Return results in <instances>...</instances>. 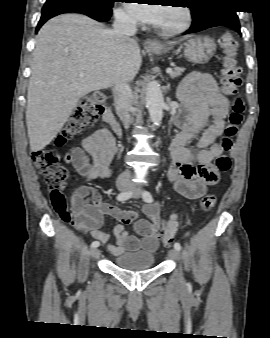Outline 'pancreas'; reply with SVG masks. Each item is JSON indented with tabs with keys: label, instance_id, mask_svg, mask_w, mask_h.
<instances>
[{
	"label": "pancreas",
	"instance_id": "pancreas-1",
	"mask_svg": "<svg viewBox=\"0 0 270 338\" xmlns=\"http://www.w3.org/2000/svg\"><path fill=\"white\" fill-rule=\"evenodd\" d=\"M185 71L182 67H175L174 70L170 73L171 78H176L182 75V73Z\"/></svg>",
	"mask_w": 270,
	"mask_h": 338
}]
</instances>
